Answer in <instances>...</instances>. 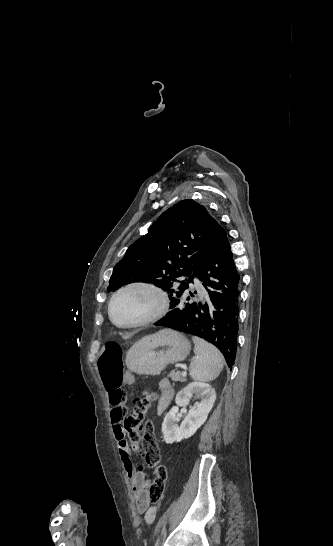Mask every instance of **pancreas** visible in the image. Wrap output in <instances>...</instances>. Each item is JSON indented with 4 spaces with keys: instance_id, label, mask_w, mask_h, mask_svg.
I'll return each mask as SVG.
<instances>
[{
    "instance_id": "1",
    "label": "pancreas",
    "mask_w": 333,
    "mask_h": 546,
    "mask_svg": "<svg viewBox=\"0 0 333 546\" xmlns=\"http://www.w3.org/2000/svg\"><path fill=\"white\" fill-rule=\"evenodd\" d=\"M168 376H169V377L171 378V380H173V381H180V382L186 381V378L183 377V376H181V374H180L179 371H172V372L169 373Z\"/></svg>"
}]
</instances>
